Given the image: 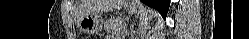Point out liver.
Returning a JSON list of instances; mask_svg holds the SVG:
<instances>
[{"label": "liver", "mask_w": 249, "mask_h": 39, "mask_svg": "<svg viewBox=\"0 0 249 39\" xmlns=\"http://www.w3.org/2000/svg\"><path fill=\"white\" fill-rule=\"evenodd\" d=\"M124 0H82L77 15L78 21L87 14L94 12H109L122 8Z\"/></svg>", "instance_id": "liver-1"}]
</instances>
